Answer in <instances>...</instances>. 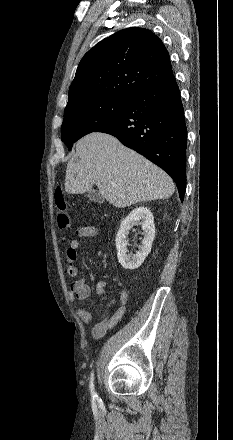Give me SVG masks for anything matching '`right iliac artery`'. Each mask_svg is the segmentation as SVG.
I'll return each mask as SVG.
<instances>
[{"label": "right iliac artery", "mask_w": 233, "mask_h": 440, "mask_svg": "<svg viewBox=\"0 0 233 440\" xmlns=\"http://www.w3.org/2000/svg\"><path fill=\"white\" fill-rule=\"evenodd\" d=\"M94 374H91V380H90V391H91V396L93 399L97 398V394L95 392V388H94Z\"/></svg>", "instance_id": "obj_1"}]
</instances>
